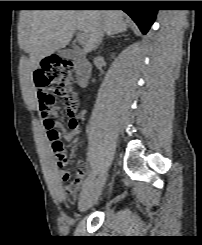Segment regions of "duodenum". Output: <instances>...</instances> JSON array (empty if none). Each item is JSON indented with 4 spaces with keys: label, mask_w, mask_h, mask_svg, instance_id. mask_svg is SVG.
Instances as JSON below:
<instances>
[{
    "label": "duodenum",
    "mask_w": 202,
    "mask_h": 245,
    "mask_svg": "<svg viewBox=\"0 0 202 245\" xmlns=\"http://www.w3.org/2000/svg\"><path fill=\"white\" fill-rule=\"evenodd\" d=\"M77 82L80 86L84 87L88 84L91 73L90 63L83 57L75 59Z\"/></svg>",
    "instance_id": "duodenum-1"
}]
</instances>
